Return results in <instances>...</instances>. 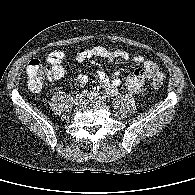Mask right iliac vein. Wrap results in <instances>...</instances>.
Returning <instances> with one entry per match:
<instances>
[{"label":"right iliac vein","instance_id":"1","mask_svg":"<svg viewBox=\"0 0 195 195\" xmlns=\"http://www.w3.org/2000/svg\"><path fill=\"white\" fill-rule=\"evenodd\" d=\"M73 101L77 105L80 104L83 101V95H76Z\"/></svg>","mask_w":195,"mask_h":195}]
</instances>
